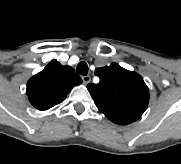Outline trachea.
Here are the masks:
<instances>
[{
  "mask_svg": "<svg viewBox=\"0 0 181 164\" xmlns=\"http://www.w3.org/2000/svg\"><path fill=\"white\" fill-rule=\"evenodd\" d=\"M76 72L80 75L86 76L88 74V65L86 62L81 61L77 67H76Z\"/></svg>",
  "mask_w": 181,
  "mask_h": 164,
  "instance_id": "1",
  "label": "trachea"
}]
</instances>
